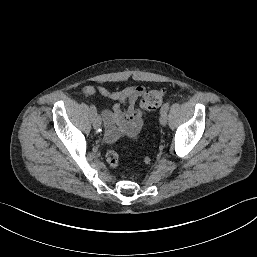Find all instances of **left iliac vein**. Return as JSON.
Listing matches in <instances>:
<instances>
[{"mask_svg": "<svg viewBox=\"0 0 257 257\" xmlns=\"http://www.w3.org/2000/svg\"><path fill=\"white\" fill-rule=\"evenodd\" d=\"M159 121L162 126H165L167 124V113H161Z\"/></svg>", "mask_w": 257, "mask_h": 257, "instance_id": "1", "label": "left iliac vein"}]
</instances>
